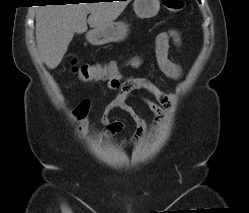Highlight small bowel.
I'll list each match as a JSON object with an SVG mask.
<instances>
[{"instance_id": "small-bowel-1", "label": "small bowel", "mask_w": 249, "mask_h": 213, "mask_svg": "<svg viewBox=\"0 0 249 213\" xmlns=\"http://www.w3.org/2000/svg\"><path fill=\"white\" fill-rule=\"evenodd\" d=\"M171 44L180 46V34L177 30L172 29L167 32H162L158 35L155 45V54L159 68L161 71L172 79H180L183 76L182 68L173 63L169 57V49ZM141 60L134 57L125 61L126 66H138ZM119 90L117 96L107 105L100 121L104 125L103 136L107 137L110 134L121 132L125 123L122 120L111 121L109 116L114 110H121L127 113L136 124V132L131 143L138 141L144 134L146 123L139 115L136 109L128 103L129 98L136 91L145 92L141 99L146 103L149 110L153 113L154 119L152 127H156L164 118V109L171 106L175 95L166 93L160 89L155 83L137 77H125L122 73L108 79L105 90ZM154 100H153V99ZM90 110V101H82L74 110L75 116L82 122H86L88 112Z\"/></svg>"}]
</instances>
